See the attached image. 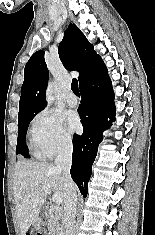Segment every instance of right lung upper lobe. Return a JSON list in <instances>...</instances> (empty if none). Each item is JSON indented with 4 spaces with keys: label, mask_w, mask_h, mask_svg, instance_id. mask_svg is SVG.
<instances>
[{
    "label": "right lung upper lobe",
    "mask_w": 155,
    "mask_h": 235,
    "mask_svg": "<svg viewBox=\"0 0 155 235\" xmlns=\"http://www.w3.org/2000/svg\"><path fill=\"white\" fill-rule=\"evenodd\" d=\"M58 53L67 69L80 73L78 77L80 87L107 72L101 57L96 54L93 45L75 24H70L66 29L63 40L59 44ZM48 78L44 51L39 50L31 56L25 66L18 117L38 113L47 106L45 89Z\"/></svg>",
    "instance_id": "obj_1"
}]
</instances>
